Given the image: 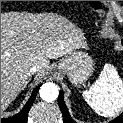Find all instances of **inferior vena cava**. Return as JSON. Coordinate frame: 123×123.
<instances>
[{"label": "inferior vena cava", "mask_w": 123, "mask_h": 123, "mask_svg": "<svg viewBox=\"0 0 123 123\" xmlns=\"http://www.w3.org/2000/svg\"><path fill=\"white\" fill-rule=\"evenodd\" d=\"M37 71V66L33 65L32 67H30L29 71H28V75H32Z\"/></svg>", "instance_id": "obj_1"}]
</instances>
